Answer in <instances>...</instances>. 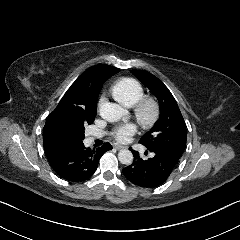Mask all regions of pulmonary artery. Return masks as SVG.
Listing matches in <instances>:
<instances>
[{
	"instance_id": "1",
	"label": "pulmonary artery",
	"mask_w": 240,
	"mask_h": 240,
	"mask_svg": "<svg viewBox=\"0 0 240 240\" xmlns=\"http://www.w3.org/2000/svg\"><path fill=\"white\" fill-rule=\"evenodd\" d=\"M94 140H95L94 137H88L87 143H88V144H91Z\"/></svg>"
}]
</instances>
